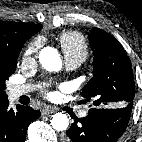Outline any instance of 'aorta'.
<instances>
[{
  "label": "aorta",
  "mask_w": 142,
  "mask_h": 142,
  "mask_svg": "<svg viewBox=\"0 0 142 142\" xmlns=\"http://www.w3.org/2000/svg\"><path fill=\"white\" fill-rule=\"evenodd\" d=\"M39 61L42 67L50 72H56L62 68L59 52L54 47L47 46L41 49ZM51 125L56 131H64L69 125V119L64 113H56L52 116Z\"/></svg>",
  "instance_id": "obj_1"
}]
</instances>
